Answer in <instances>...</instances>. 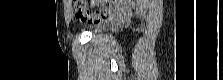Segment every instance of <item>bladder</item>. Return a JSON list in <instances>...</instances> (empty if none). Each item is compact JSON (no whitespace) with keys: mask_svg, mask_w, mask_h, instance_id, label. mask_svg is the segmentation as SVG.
<instances>
[{"mask_svg":"<svg viewBox=\"0 0 223 80\" xmlns=\"http://www.w3.org/2000/svg\"><path fill=\"white\" fill-rule=\"evenodd\" d=\"M100 30H101V27H99V28L96 29V31H100Z\"/></svg>","mask_w":223,"mask_h":80,"instance_id":"31cf9c89","label":"bladder"}]
</instances>
